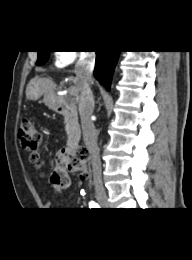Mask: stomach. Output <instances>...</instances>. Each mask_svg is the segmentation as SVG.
I'll list each match as a JSON object with an SVG mask.
<instances>
[{
  "label": "stomach",
  "mask_w": 192,
  "mask_h": 260,
  "mask_svg": "<svg viewBox=\"0 0 192 260\" xmlns=\"http://www.w3.org/2000/svg\"><path fill=\"white\" fill-rule=\"evenodd\" d=\"M41 96L40 88L36 86H32L31 89H29V97L31 99H38Z\"/></svg>",
  "instance_id": "stomach-1"
}]
</instances>
